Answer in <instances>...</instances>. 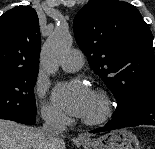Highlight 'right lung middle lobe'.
Returning a JSON list of instances; mask_svg holds the SVG:
<instances>
[{
  "label": "right lung middle lobe",
  "mask_w": 155,
  "mask_h": 149,
  "mask_svg": "<svg viewBox=\"0 0 155 149\" xmlns=\"http://www.w3.org/2000/svg\"><path fill=\"white\" fill-rule=\"evenodd\" d=\"M37 75L38 71H0V119L21 123L36 115Z\"/></svg>",
  "instance_id": "right-lung-middle-lobe-1"
}]
</instances>
